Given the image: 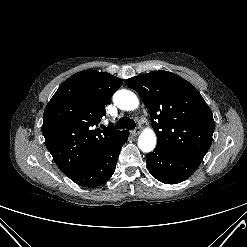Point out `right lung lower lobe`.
<instances>
[{
  "label": "right lung lower lobe",
  "mask_w": 247,
  "mask_h": 247,
  "mask_svg": "<svg viewBox=\"0 0 247 247\" xmlns=\"http://www.w3.org/2000/svg\"><path fill=\"white\" fill-rule=\"evenodd\" d=\"M128 131H124L113 143L97 154L86 166L70 178L83 187H97L105 183L114 173L120 149L127 141Z\"/></svg>",
  "instance_id": "obj_1"
}]
</instances>
